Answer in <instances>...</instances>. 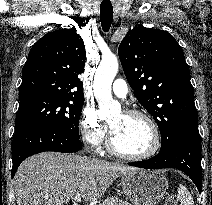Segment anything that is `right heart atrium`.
<instances>
[{
  "mask_svg": "<svg viewBox=\"0 0 212 205\" xmlns=\"http://www.w3.org/2000/svg\"><path fill=\"white\" fill-rule=\"evenodd\" d=\"M81 140L89 147L98 149L105 140V133L95 111L85 108L79 120Z\"/></svg>",
  "mask_w": 212,
  "mask_h": 205,
  "instance_id": "d8ad5b80",
  "label": "right heart atrium"
}]
</instances>
